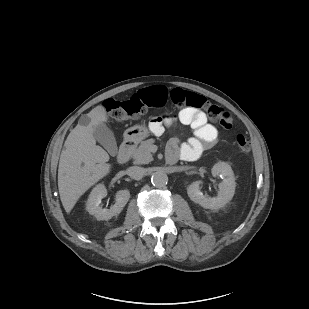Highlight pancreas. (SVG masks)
Masks as SVG:
<instances>
[{
	"instance_id": "cf45deb5",
	"label": "pancreas",
	"mask_w": 309,
	"mask_h": 309,
	"mask_svg": "<svg viewBox=\"0 0 309 309\" xmlns=\"http://www.w3.org/2000/svg\"><path fill=\"white\" fill-rule=\"evenodd\" d=\"M154 142L155 140L153 138L141 142L140 146L132 153L134 164H148L152 161L150 147Z\"/></svg>"
}]
</instances>
